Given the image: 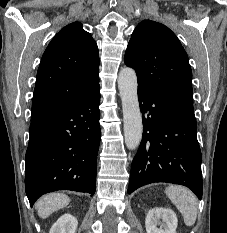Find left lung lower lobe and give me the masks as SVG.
Segmentation results:
<instances>
[{"label": "left lung lower lobe", "instance_id": "left-lung-lower-lobe-1", "mask_svg": "<svg viewBox=\"0 0 227 233\" xmlns=\"http://www.w3.org/2000/svg\"><path fill=\"white\" fill-rule=\"evenodd\" d=\"M143 137L131 165L128 194L167 182L190 188L202 198V155L194 111L147 90L138 89Z\"/></svg>", "mask_w": 227, "mask_h": 233}]
</instances>
